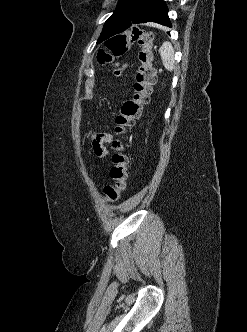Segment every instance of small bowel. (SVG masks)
<instances>
[{"mask_svg": "<svg viewBox=\"0 0 247 332\" xmlns=\"http://www.w3.org/2000/svg\"><path fill=\"white\" fill-rule=\"evenodd\" d=\"M114 136L109 132H97L92 136V149L96 156L106 157L108 150L105 147L106 143H111Z\"/></svg>", "mask_w": 247, "mask_h": 332, "instance_id": "1", "label": "small bowel"}]
</instances>
